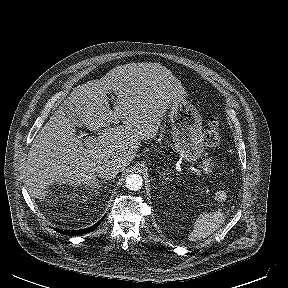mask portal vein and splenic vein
<instances>
[{
    "mask_svg": "<svg viewBox=\"0 0 288 288\" xmlns=\"http://www.w3.org/2000/svg\"><path fill=\"white\" fill-rule=\"evenodd\" d=\"M89 140H93V137H88L87 139H86V142H89ZM205 171H207V169H204ZM198 175H201L200 174V170H198V169H196V171H195Z\"/></svg>",
    "mask_w": 288,
    "mask_h": 288,
    "instance_id": "1",
    "label": "portal vein and splenic vein"
}]
</instances>
